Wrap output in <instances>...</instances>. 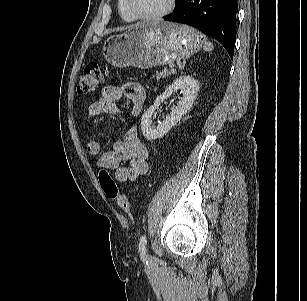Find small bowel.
<instances>
[{
  "instance_id": "1",
  "label": "small bowel",
  "mask_w": 307,
  "mask_h": 301,
  "mask_svg": "<svg viewBox=\"0 0 307 301\" xmlns=\"http://www.w3.org/2000/svg\"><path fill=\"white\" fill-rule=\"evenodd\" d=\"M126 98L131 104L130 118L137 116L144 105L145 91L138 83H127L122 87L106 86L101 97L87 108V116L95 118L102 114L120 115L118 103ZM88 153L97 157V165L107 170H114L119 183L132 182L148 171L149 150L137 137L135 128L130 125L122 140L114 144L111 151H103L98 140H90Z\"/></svg>"
}]
</instances>
